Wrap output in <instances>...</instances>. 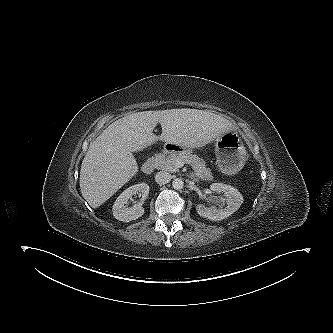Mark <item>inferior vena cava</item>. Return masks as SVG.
<instances>
[{"mask_svg": "<svg viewBox=\"0 0 333 333\" xmlns=\"http://www.w3.org/2000/svg\"><path fill=\"white\" fill-rule=\"evenodd\" d=\"M172 179V176L170 173L165 172V171H160L156 173L155 175V181L158 184H166Z\"/></svg>", "mask_w": 333, "mask_h": 333, "instance_id": "602c4592", "label": "inferior vena cava"}]
</instances>
